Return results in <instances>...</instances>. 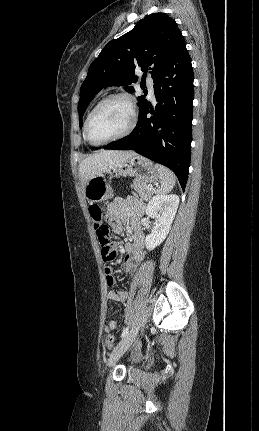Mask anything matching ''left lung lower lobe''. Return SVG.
Masks as SVG:
<instances>
[{"mask_svg": "<svg viewBox=\"0 0 259 431\" xmlns=\"http://www.w3.org/2000/svg\"><path fill=\"white\" fill-rule=\"evenodd\" d=\"M193 70L184 39L154 77L156 109L145 100L133 132L103 148L134 150L170 168L185 189L191 157ZM151 113L152 116L147 118Z\"/></svg>", "mask_w": 259, "mask_h": 431, "instance_id": "left-lung-lower-lobe-1", "label": "left lung lower lobe"}]
</instances>
